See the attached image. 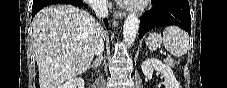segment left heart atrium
Returning <instances> with one entry per match:
<instances>
[{"instance_id": "39dd6f15", "label": "left heart atrium", "mask_w": 227, "mask_h": 88, "mask_svg": "<svg viewBox=\"0 0 227 88\" xmlns=\"http://www.w3.org/2000/svg\"><path fill=\"white\" fill-rule=\"evenodd\" d=\"M140 2H141L140 0H126V1H123V3L130 4V5L139 4Z\"/></svg>"}]
</instances>
